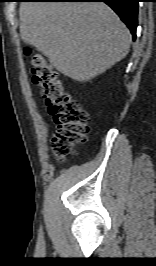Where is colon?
Listing matches in <instances>:
<instances>
[{"label":"colon","instance_id":"obj_1","mask_svg":"<svg viewBox=\"0 0 156 266\" xmlns=\"http://www.w3.org/2000/svg\"><path fill=\"white\" fill-rule=\"evenodd\" d=\"M31 55L30 49L24 50ZM33 82L41 88L56 131L52 139L54 154L58 160L69 155L73 148L86 140L88 112L68 93L58 74L41 54L32 55Z\"/></svg>","mask_w":156,"mask_h":266}]
</instances>
